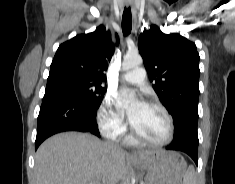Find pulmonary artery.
Returning <instances> with one entry per match:
<instances>
[{"label":"pulmonary artery","mask_w":235,"mask_h":184,"mask_svg":"<svg viewBox=\"0 0 235 184\" xmlns=\"http://www.w3.org/2000/svg\"><path fill=\"white\" fill-rule=\"evenodd\" d=\"M146 76V71L142 68H138L124 73L121 79L131 85H140L144 82Z\"/></svg>","instance_id":"obj_1"}]
</instances>
